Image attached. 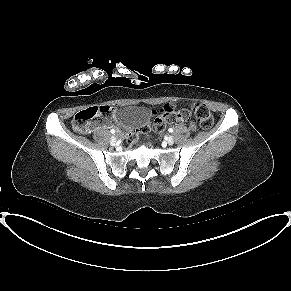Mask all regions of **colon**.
I'll list each match as a JSON object with an SVG mask.
<instances>
[{
  "mask_svg": "<svg viewBox=\"0 0 291 291\" xmlns=\"http://www.w3.org/2000/svg\"><path fill=\"white\" fill-rule=\"evenodd\" d=\"M189 113L195 115L196 120L203 129H210L214 124V118L205 104L193 103L189 106ZM177 108L173 104H166L162 107L160 115L156 117L152 124H143L136 132H131L128 142L135 141L138 133H148L151 129L162 132L166 124L174 120ZM116 114L115 108L111 106H91L87 107L74 116L73 126L82 133L89 132L96 125L108 123Z\"/></svg>",
  "mask_w": 291,
  "mask_h": 291,
  "instance_id": "5ec220e1",
  "label": "colon"
}]
</instances>
